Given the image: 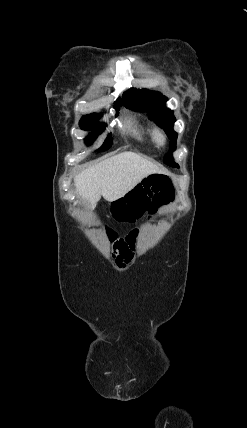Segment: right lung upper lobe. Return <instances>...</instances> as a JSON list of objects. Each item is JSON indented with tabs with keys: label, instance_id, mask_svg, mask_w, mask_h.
<instances>
[{
	"label": "right lung upper lobe",
	"instance_id": "right-lung-upper-lobe-1",
	"mask_svg": "<svg viewBox=\"0 0 247 428\" xmlns=\"http://www.w3.org/2000/svg\"><path fill=\"white\" fill-rule=\"evenodd\" d=\"M122 100L124 101V96H123ZM115 104H116V105H117V104H122V102H121V100H120V99H118V100L115 102Z\"/></svg>",
	"mask_w": 247,
	"mask_h": 428
}]
</instances>
